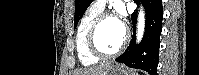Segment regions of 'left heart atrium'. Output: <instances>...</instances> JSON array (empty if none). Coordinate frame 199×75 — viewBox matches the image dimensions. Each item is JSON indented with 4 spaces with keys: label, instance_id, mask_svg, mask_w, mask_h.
Here are the masks:
<instances>
[{
    "label": "left heart atrium",
    "instance_id": "obj_1",
    "mask_svg": "<svg viewBox=\"0 0 199 75\" xmlns=\"http://www.w3.org/2000/svg\"><path fill=\"white\" fill-rule=\"evenodd\" d=\"M119 26L121 27V29L123 31H125V21H124V18L122 16H120L119 18H116Z\"/></svg>",
    "mask_w": 199,
    "mask_h": 75
}]
</instances>
